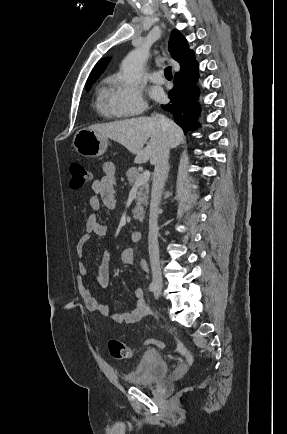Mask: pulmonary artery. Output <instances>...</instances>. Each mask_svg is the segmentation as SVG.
Masks as SVG:
<instances>
[{
    "mask_svg": "<svg viewBox=\"0 0 287 434\" xmlns=\"http://www.w3.org/2000/svg\"><path fill=\"white\" fill-rule=\"evenodd\" d=\"M150 79L156 83H163L165 80L162 71L152 72L150 74Z\"/></svg>",
    "mask_w": 287,
    "mask_h": 434,
    "instance_id": "1",
    "label": "pulmonary artery"
}]
</instances>
